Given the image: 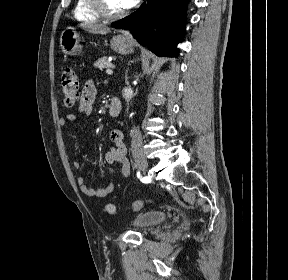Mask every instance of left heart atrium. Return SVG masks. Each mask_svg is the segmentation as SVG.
<instances>
[{
    "mask_svg": "<svg viewBox=\"0 0 288 280\" xmlns=\"http://www.w3.org/2000/svg\"><path fill=\"white\" fill-rule=\"evenodd\" d=\"M137 2L138 0H119L122 9H129L133 7Z\"/></svg>",
    "mask_w": 288,
    "mask_h": 280,
    "instance_id": "obj_1",
    "label": "left heart atrium"
}]
</instances>
